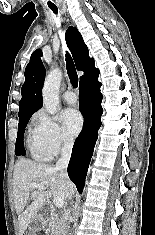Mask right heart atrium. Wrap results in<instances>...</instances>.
<instances>
[{
	"mask_svg": "<svg viewBox=\"0 0 155 235\" xmlns=\"http://www.w3.org/2000/svg\"><path fill=\"white\" fill-rule=\"evenodd\" d=\"M34 131L39 143L51 156L65 153L72 147V139L58 121L44 111L35 115Z\"/></svg>",
	"mask_w": 155,
	"mask_h": 235,
	"instance_id": "right-heart-atrium-1",
	"label": "right heart atrium"
}]
</instances>
